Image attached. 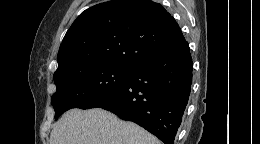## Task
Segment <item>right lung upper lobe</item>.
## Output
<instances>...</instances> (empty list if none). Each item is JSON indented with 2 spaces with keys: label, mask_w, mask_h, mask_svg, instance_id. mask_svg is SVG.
I'll return each mask as SVG.
<instances>
[{
  "label": "right lung upper lobe",
  "mask_w": 260,
  "mask_h": 144,
  "mask_svg": "<svg viewBox=\"0 0 260 144\" xmlns=\"http://www.w3.org/2000/svg\"><path fill=\"white\" fill-rule=\"evenodd\" d=\"M185 42L175 19L151 0H113L82 12L58 52L54 76L98 65L132 67Z\"/></svg>",
  "instance_id": "1"
}]
</instances>
